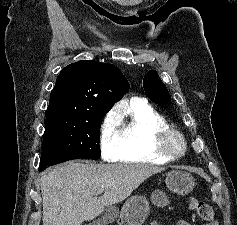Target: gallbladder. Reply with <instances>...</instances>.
Segmentation results:
<instances>
[{"mask_svg":"<svg viewBox=\"0 0 237 225\" xmlns=\"http://www.w3.org/2000/svg\"><path fill=\"white\" fill-rule=\"evenodd\" d=\"M109 223V218L105 216L103 219H99L93 223H90L88 225H106Z\"/></svg>","mask_w":237,"mask_h":225,"instance_id":"bac80fb5","label":"gallbladder"}]
</instances>
